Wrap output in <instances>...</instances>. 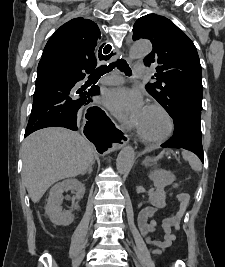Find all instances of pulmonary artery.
Returning <instances> with one entry per match:
<instances>
[{
  "label": "pulmonary artery",
  "instance_id": "1",
  "mask_svg": "<svg viewBox=\"0 0 225 267\" xmlns=\"http://www.w3.org/2000/svg\"><path fill=\"white\" fill-rule=\"evenodd\" d=\"M146 73V67L144 64H135L133 76L140 78ZM99 82L103 85H117L123 82V79L119 76L109 75L100 78Z\"/></svg>",
  "mask_w": 225,
  "mask_h": 267
}]
</instances>
